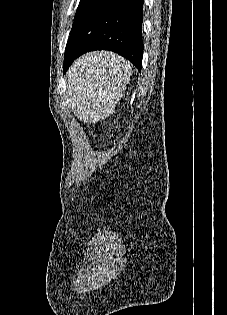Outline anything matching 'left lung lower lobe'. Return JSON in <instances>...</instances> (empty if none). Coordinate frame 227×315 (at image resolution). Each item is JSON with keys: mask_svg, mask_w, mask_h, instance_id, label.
Instances as JSON below:
<instances>
[{"mask_svg": "<svg viewBox=\"0 0 227 315\" xmlns=\"http://www.w3.org/2000/svg\"><path fill=\"white\" fill-rule=\"evenodd\" d=\"M144 0H98L81 18L68 39L63 72L82 54L109 50L142 67Z\"/></svg>", "mask_w": 227, "mask_h": 315, "instance_id": "1", "label": "left lung lower lobe"}]
</instances>
